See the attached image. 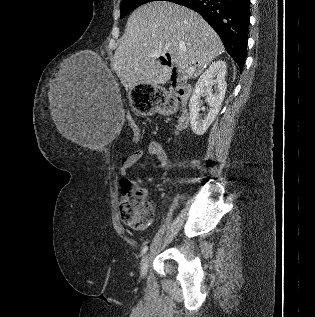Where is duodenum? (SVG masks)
<instances>
[{"label":"duodenum","instance_id":"obj_1","mask_svg":"<svg viewBox=\"0 0 315 317\" xmlns=\"http://www.w3.org/2000/svg\"><path fill=\"white\" fill-rule=\"evenodd\" d=\"M171 86L174 90H178V88L180 87V81H179V77L177 76V74H174L172 76ZM188 124H189L188 114H187V112L184 111L178 119L176 129L183 130L188 126Z\"/></svg>","mask_w":315,"mask_h":317}]
</instances>
